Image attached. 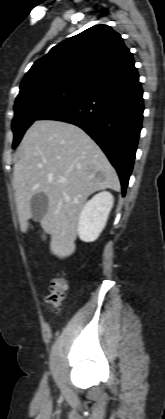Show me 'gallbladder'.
Wrapping results in <instances>:
<instances>
[{
  "label": "gallbladder",
  "mask_w": 165,
  "mask_h": 419,
  "mask_svg": "<svg viewBox=\"0 0 165 419\" xmlns=\"http://www.w3.org/2000/svg\"><path fill=\"white\" fill-rule=\"evenodd\" d=\"M32 219L40 221L48 210V198L44 193L35 194L30 202Z\"/></svg>",
  "instance_id": "gallbladder-1"
}]
</instances>
